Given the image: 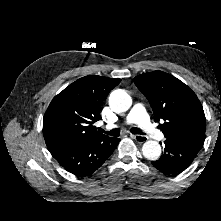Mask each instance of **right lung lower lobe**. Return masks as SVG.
Masks as SVG:
<instances>
[{"instance_id":"right-lung-lower-lobe-1","label":"right lung lower lobe","mask_w":221,"mask_h":221,"mask_svg":"<svg viewBox=\"0 0 221 221\" xmlns=\"http://www.w3.org/2000/svg\"><path fill=\"white\" fill-rule=\"evenodd\" d=\"M120 139H104L67 146L50 151L67 171L77 176H88L96 171L113 153Z\"/></svg>"}]
</instances>
